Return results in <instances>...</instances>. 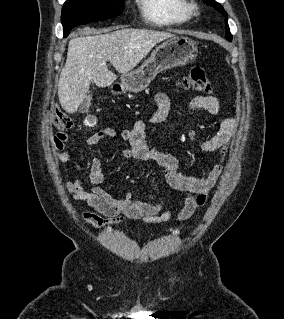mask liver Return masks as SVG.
I'll use <instances>...</instances> for the list:
<instances>
[{"instance_id": "liver-1", "label": "liver", "mask_w": 284, "mask_h": 319, "mask_svg": "<svg viewBox=\"0 0 284 319\" xmlns=\"http://www.w3.org/2000/svg\"><path fill=\"white\" fill-rule=\"evenodd\" d=\"M105 30V34L81 36L69 41L67 59L60 74L58 97L68 113L77 111L87 97L90 83L99 87L113 84L117 76L106 65L110 61L122 75L129 73L161 41L174 37L148 29Z\"/></svg>"}]
</instances>
